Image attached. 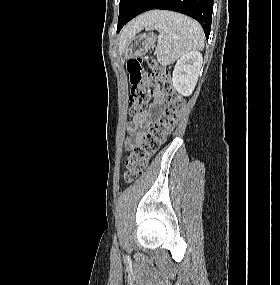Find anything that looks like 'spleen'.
Instances as JSON below:
<instances>
[{
  "instance_id": "3e777b00",
  "label": "spleen",
  "mask_w": 280,
  "mask_h": 285,
  "mask_svg": "<svg viewBox=\"0 0 280 285\" xmlns=\"http://www.w3.org/2000/svg\"><path fill=\"white\" fill-rule=\"evenodd\" d=\"M145 28L147 31L155 29L159 32L155 55L163 66L204 46V33L199 23L178 13L155 11V16Z\"/></svg>"
}]
</instances>
